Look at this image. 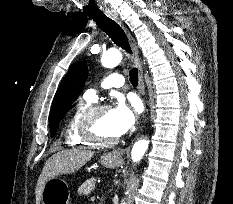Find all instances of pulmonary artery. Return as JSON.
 Instances as JSON below:
<instances>
[{
  "label": "pulmonary artery",
  "mask_w": 233,
  "mask_h": 204,
  "mask_svg": "<svg viewBox=\"0 0 233 204\" xmlns=\"http://www.w3.org/2000/svg\"><path fill=\"white\" fill-rule=\"evenodd\" d=\"M124 85V77L120 74L113 73L108 75L103 81V87L110 88H120ZM85 98L95 101L97 99V91L95 89H89L85 93Z\"/></svg>",
  "instance_id": "e3ab8cb5"
}]
</instances>
